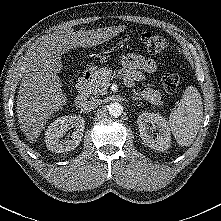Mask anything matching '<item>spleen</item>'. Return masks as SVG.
Instances as JSON below:
<instances>
[{
    "mask_svg": "<svg viewBox=\"0 0 221 221\" xmlns=\"http://www.w3.org/2000/svg\"><path fill=\"white\" fill-rule=\"evenodd\" d=\"M202 118L201 95L195 87L188 86L178 108L169 116L170 129L180 146H190L193 143L200 129Z\"/></svg>",
    "mask_w": 221,
    "mask_h": 221,
    "instance_id": "3e777b00",
    "label": "spleen"
}]
</instances>
